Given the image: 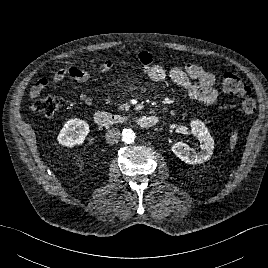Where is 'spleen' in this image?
I'll return each instance as SVG.
<instances>
[{"label":"spleen","instance_id":"3e777b00","mask_svg":"<svg viewBox=\"0 0 268 268\" xmlns=\"http://www.w3.org/2000/svg\"><path fill=\"white\" fill-rule=\"evenodd\" d=\"M236 139H237V135H236V133H235V134L233 135V137H232V147H233V144L235 143Z\"/></svg>","mask_w":268,"mask_h":268}]
</instances>
